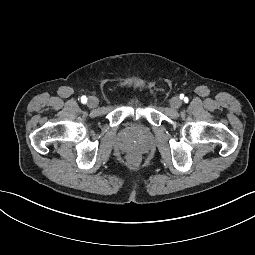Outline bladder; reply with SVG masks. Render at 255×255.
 Returning <instances> with one entry per match:
<instances>
[{"label":"bladder","instance_id":"obj_1","mask_svg":"<svg viewBox=\"0 0 255 255\" xmlns=\"http://www.w3.org/2000/svg\"><path fill=\"white\" fill-rule=\"evenodd\" d=\"M131 104L136 107L139 105V101L137 99L132 100Z\"/></svg>","mask_w":255,"mask_h":255}]
</instances>
